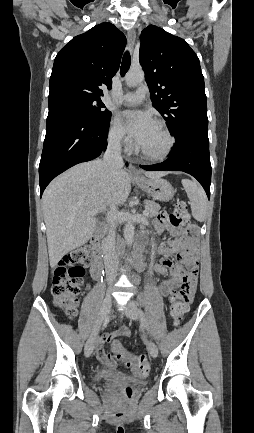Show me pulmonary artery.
Segmentation results:
<instances>
[{"label":"pulmonary artery","mask_w":254,"mask_h":433,"mask_svg":"<svg viewBox=\"0 0 254 433\" xmlns=\"http://www.w3.org/2000/svg\"><path fill=\"white\" fill-rule=\"evenodd\" d=\"M148 94V87L141 85L134 92H128L119 97V101L125 105H137L141 103Z\"/></svg>","instance_id":"pulmonary-artery-1"}]
</instances>
